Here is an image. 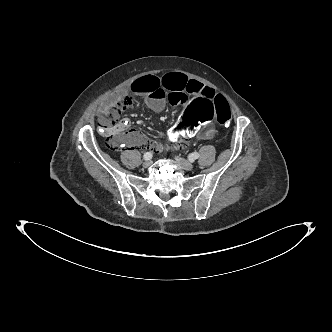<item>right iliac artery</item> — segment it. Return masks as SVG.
<instances>
[{"label": "right iliac artery", "instance_id": "obj_1", "mask_svg": "<svg viewBox=\"0 0 332 332\" xmlns=\"http://www.w3.org/2000/svg\"><path fill=\"white\" fill-rule=\"evenodd\" d=\"M143 157H144L145 160H150L152 158V153L151 152H146Z\"/></svg>", "mask_w": 332, "mask_h": 332}]
</instances>
